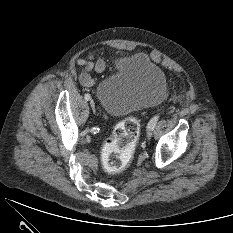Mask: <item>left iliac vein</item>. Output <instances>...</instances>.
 <instances>
[{
	"instance_id": "left-iliac-vein-1",
	"label": "left iliac vein",
	"mask_w": 233,
	"mask_h": 233,
	"mask_svg": "<svg viewBox=\"0 0 233 233\" xmlns=\"http://www.w3.org/2000/svg\"><path fill=\"white\" fill-rule=\"evenodd\" d=\"M152 131H153V129H149V128H148V131H147V138H148V139H150V138L152 137V135H153V132H152Z\"/></svg>"
}]
</instances>
